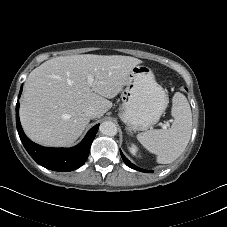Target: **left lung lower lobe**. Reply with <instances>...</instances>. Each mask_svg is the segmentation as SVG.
<instances>
[{
	"mask_svg": "<svg viewBox=\"0 0 227 227\" xmlns=\"http://www.w3.org/2000/svg\"><path fill=\"white\" fill-rule=\"evenodd\" d=\"M120 153H121V157H122L124 163H125L127 166H129L130 168L135 169V170H138V171H141V172H147V173L153 172V171H151V170H143V169H141V168L135 166L134 164H132V163L123 155L122 152H120Z\"/></svg>",
	"mask_w": 227,
	"mask_h": 227,
	"instance_id": "obj_1",
	"label": "left lung lower lobe"
}]
</instances>
